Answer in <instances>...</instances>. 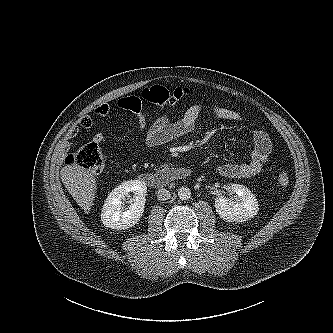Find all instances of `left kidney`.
I'll use <instances>...</instances> for the list:
<instances>
[{"mask_svg":"<svg viewBox=\"0 0 333 333\" xmlns=\"http://www.w3.org/2000/svg\"><path fill=\"white\" fill-rule=\"evenodd\" d=\"M240 198V202H233L220 196L215 200L216 212L228 222H245L257 215L259 210L255 195L240 184L227 185Z\"/></svg>","mask_w":333,"mask_h":333,"instance_id":"left-kidney-1","label":"left kidney"}]
</instances>
